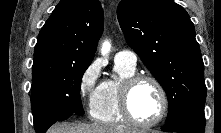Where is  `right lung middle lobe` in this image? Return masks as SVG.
<instances>
[{"instance_id": "right-lung-middle-lobe-1", "label": "right lung middle lobe", "mask_w": 221, "mask_h": 133, "mask_svg": "<svg viewBox=\"0 0 221 133\" xmlns=\"http://www.w3.org/2000/svg\"><path fill=\"white\" fill-rule=\"evenodd\" d=\"M91 62L62 65L32 72L31 106L34 124L44 119L62 121L84 114L81 80Z\"/></svg>"}]
</instances>
